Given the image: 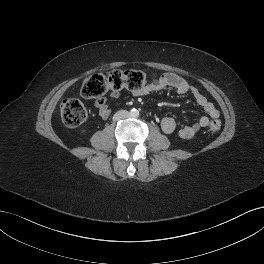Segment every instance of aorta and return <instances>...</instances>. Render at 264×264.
<instances>
[{
	"mask_svg": "<svg viewBox=\"0 0 264 264\" xmlns=\"http://www.w3.org/2000/svg\"><path fill=\"white\" fill-rule=\"evenodd\" d=\"M130 116L133 117V118H136L139 116V111L135 108L131 109L130 111Z\"/></svg>",
	"mask_w": 264,
	"mask_h": 264,
	"instance_id": "762f6f07",
	"label": "aorta"
}]
</instances>
